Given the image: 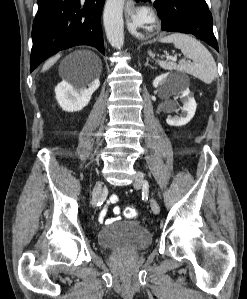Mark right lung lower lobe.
I'll list each match as a JSON object with an SVG mask.
<instances>
[{"label": "right lung lower lobe", "instance_id": "98d812e1", "mask_svg": "<svg viewBox=\"0 0 247 299\" xmlns=\"http://www.w3.org/2000/svg\"><path fill=\"white\" fill-rule=\"evenodd\" d=\"M105 0H38L30 56V71L58 51L77 45L104 54L100 15Z\"/></svg>", "mask_w": 247, "mask_h": 299}]
</instances>
